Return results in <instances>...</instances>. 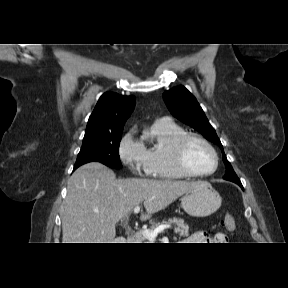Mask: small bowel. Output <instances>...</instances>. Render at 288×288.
Here are the masks:
<instances>
[{"label":"small bowel","mask_w":288,"mask_h":288,"mask_svg":"<svg viewBox=\"0 0 288 288\" xmlns=\"http://www.w3.org/2000/svg\"><path fill=\"white\" fill-rule=\"evenodd\" d=\"M226 241L227 238L223 233H216L213 236H209L205 231H197L189 237L190 243H225Z\"/></svg>","instance_id":"1"}]
</instances>
